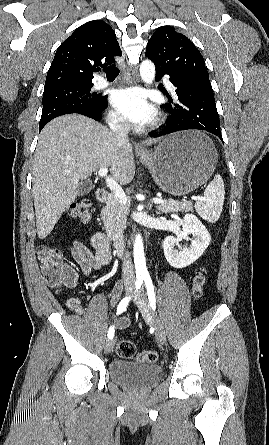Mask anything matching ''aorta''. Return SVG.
<instances>
[{"instance_id":"obj_1","label":"aorta","mask_w":269,"mask_h":445,"mask_svg":"<svg viewBox=\"0 0 269 445\" xmlns=\"http://www.w3.org/2000/svg\"><path fill=\"white\" fill-rule=\"evenodd\" d=\"M140 76L146 84H151L155 78V65L149 60H144L140 64ZM133 255L136 274L138 276L147 275L148 271L146 267L143 239L141 235H137L135 238Z\"/></svg>"}]
</instances>
